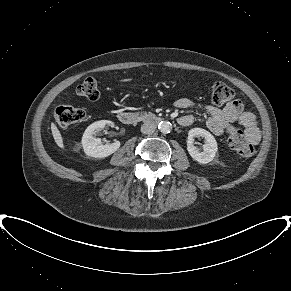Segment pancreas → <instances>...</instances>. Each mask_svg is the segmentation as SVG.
Instances as JSON below:
<instances>
[{
    "label": "pancreas",
    "mask_w": 291,
    "mask_h": 291,
    "mask_svg": "<svg viewBox=\"0 0 291 291\" xmlns=\"http://www.w3.org/2000/svg\"><path fill=\"white\" fill-rule=\"evenodd\" d=\"M137 115L139 116L140 120H144L149 116L147 112L137 113Z\"/></svg>",
    "instance_id": "obj_1"
}]
</instances>
